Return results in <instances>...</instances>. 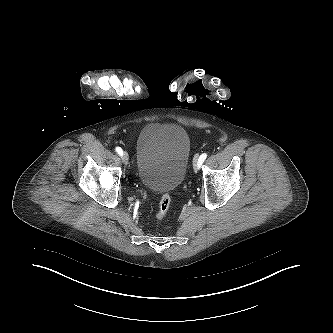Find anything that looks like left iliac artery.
I'll list each match as a JSON object with an SVG mask.
<instances>
[{
    "label": "left iliac artery",
    "mask_w": 333,
    "mask_h": 333,
    "mask_svg": "<svg viewBox=\"0 0 333 333\" xmlns=\"http://www.w3.org/2000/svg\"><path fill=\"white\" fill-rule=\"evenodd\" d=\"M206 158H207L206 153H203V154L200 155V157L198 159L199 167L202 165V163L205 161Z\"/></svg>",
    "instance_id": "obj_1"
}]
</instances>
